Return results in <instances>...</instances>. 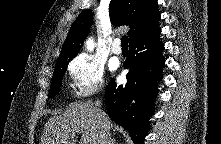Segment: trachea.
<instances>
[{
	"label": "trachea",
	"instance_id": "trachea-1",
	"mask_svg": "<svg viewBox=\"0 0 221 144\" xmlns=\"http://www.w3.org/2000/svg\"><path fill=\"white\" fill-rule=\"evenodd\" d=\"M121 44H122V47H128V38H127V36H122Z\"/></svg>",
	"mask_w": 221,
	"mask_h": 144
}]
</instances>
